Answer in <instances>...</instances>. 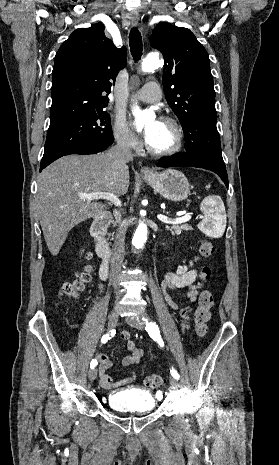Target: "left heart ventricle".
I'll use <instances>...</instances> for the list:
<instances>
[{"label": "left heart ventricle", "instance_id": "1", "mask_svg": "<svg viewBox=\"0 0 279 465\" xmlns=\"http://www.w3.org/2000/svg\"><path fill=\"white\" fill-rule=\"evenodd\" d=\"M145 131L149 132V146L156 151L169 149L175 142V131L167 123L151 121L146 125Z\"/></svg>", "mask_w": 279, "mask_h": 465}]
</instances>
